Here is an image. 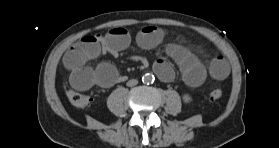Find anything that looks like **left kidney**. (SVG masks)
I'll return each mask as SVG.
<instances>
[{
	"label": "left kidney",
	"instance_id": "obj_1",
	"mask_svg": "<svg viewBox=\"0 0 279 148\" xmlns=\"http://www.w3.org/2000/svg\"><path fill=\"white\" fill-rule=\"evenodd\" d=\"M182 99H183V101H184L185 103H190V102L192 101L191 96L188 95V94H184L183 97H182Z\"/></svg>",
	"mask_w": 279,
	"mask_h": 148
}]
</instances>
